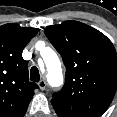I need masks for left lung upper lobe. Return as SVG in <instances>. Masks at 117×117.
<instances>
[{
	"mask_svg": "<svg viewBox=\"0 0 117 117\" xmlns=\"http://www.w3.org/2000/svg\"><path fill=\"white\" fill-rule=\"evenodd\" d=\"M61 54L66 81L51 103L59 117H99L110 105L117 87V55L100 31L78 21L44 29Z\"/></svg>",
	"mask_w": 117,
	"mask_h": 117,
	"instance_id": "obj_1",
	"label": "left lung upper lobe"
}]
</instances>
